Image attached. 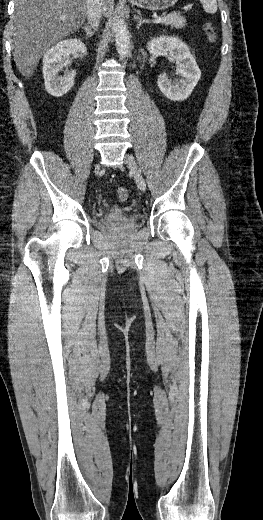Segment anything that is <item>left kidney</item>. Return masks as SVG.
<instances>
[{
    "instance_id": "obj_1",
    "label": "left kidney",
    "mask_w": 263,
    "mask_h": 520,
    "mask_svg": "<svg viewBox=\"0 0 263 520\" xmlns=\"http://www.w3.org/2000/svg\"><path fill=\"white\" fill-rule=\"evenodd\" d=\"M147 49L152 55L169 53L176 61V71L181 76L178 83L173 84L166 74L158 77V87L164 96L172 101L187 99L201 77V71L189 48L177 37L160 36L151 39Z\"/></svg>"
}]
</instances>
